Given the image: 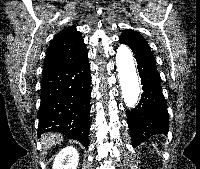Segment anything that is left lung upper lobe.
Returning <instances> with one entry per match:
<instances>
[{
  "label": "left lung upper lobe",
  "mask_w": 200,
  "mask_h": 169,
  "mask_svg": "<svg viewBox=\"0 0 200 169\" xmlns=\"http://www.w3.org/2000/svg\"><path fill=\"white\" fill-rule=\"evenodd\" d=\"M120 39L129 45L134 54H147L148 56L154 58L148 43L139 33L132 30H125L122 32Z\"/></svg>",
  "instance_id": "1"
}]
</instances>
